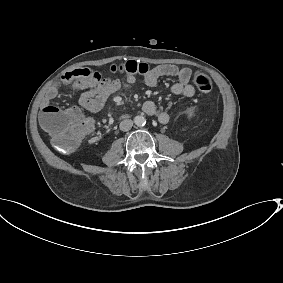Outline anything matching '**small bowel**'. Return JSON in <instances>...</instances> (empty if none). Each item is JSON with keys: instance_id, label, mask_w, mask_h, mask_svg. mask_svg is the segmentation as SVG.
<instances>
[{"instance_id": "c3829d8e", "label": "small bowel", "mask_w": 283, "mask_h": 283, "mask_svg": "<svg viewBox=\"0 0 283 283\" xmlns=\"http://www.w3.org/2000/svg\"><path fill=\"white\" fill-rule=\"evenodd\" d=\"M191 70L188 68H179L173 64L158 65L149 70L144 75V82L148 87H155L162 77H175L177 82L171 86V92L174 95H183L192 97L195 94V88L190 84ZM135 82V76L126 75L123 81L119 79H110L102 77L99 73L90 69H74L62 76L61 82L48 88L42 100V111L54 107L51 103L58 96L59 84L70 86L71 89L81 91L79 105L91 113L99 112L108 99L121 90L129 87ZM145 114L153 116L161 124L169 122V114L160 110L152 101H146L142 105Z\"/></svg>"}]
</instances>
